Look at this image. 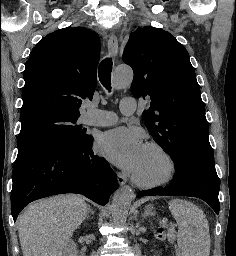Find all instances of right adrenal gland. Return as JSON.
Segmentation results:
<instances>
[{
	"label": "right adrenal gland",
	"instance_id": "obj_1",
	"mask_svg": "<svg viewBox=\"0 0 236 256\" xmlns=\"http://www.w3.org/2000/svg\"><path fill=\"white\" fill-rule=\"evenodd\" d=\"M89 212H91V214H94L93 210H89ZM88 212V214H89ZM86 218H89V216H86Z\"/></svg>",
	"mask_w": 236,
	"mask_h": 256
}]
</instances>
